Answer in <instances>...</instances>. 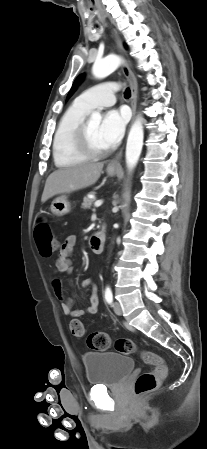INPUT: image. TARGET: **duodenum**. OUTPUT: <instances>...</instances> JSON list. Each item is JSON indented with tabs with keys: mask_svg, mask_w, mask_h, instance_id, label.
I'll return each instance as SVG.
<instances>
[{
	"mask_svg": "<svg viewBox=\"0 0 207 449\" xmlns=\"http://www.w3.org/2000/svg\"><path fill=\"white\" fill-rule=\"evenodd\" d=\"M105 245V231L101 229L90 237V246L93 252L101 253Z\"/></svg>",
	"mask_w": 207,
	"mask_h": 449,
	"instance_id": "duodenum-1",
	"label": "duodenum"
}]
</instances>
